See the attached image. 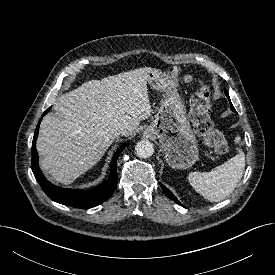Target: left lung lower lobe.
Instances as JSON below:
<instances>
[{"mask_svg": "<svg viewBox=\"0 0 275 275\" xmlns=\"http://www.w3.org/2000/svg\"><path fill=\"white\" fill-rule=\"evenodd\" d=\"M225 94H226V96L229 98L228 92H226ZM229 100H230V98H229ZM230 105H231L232 111H235L233 105H232V104H230ZM160 185H161L162 190L164 191V193L167 195L168 198H170V199H172L173 201L179 203L178 200H177V198L171 193V191H170L168 188H166V187H165L164 185H162V184H160Z\"/></svg>", "mask_w": 275, "mask_h": 275, "instance_id": "1", "label": "left lung lower lobe"}]
</instances>
